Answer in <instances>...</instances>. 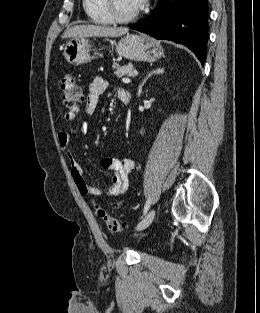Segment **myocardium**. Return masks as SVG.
Instances as JSON below:
<instances>
[{
  "mask_svg": "<svg viewBox=\"0 0 260 313\" xmlns=\"http://www.w3.org/2000/svg\"><path fill=\"white\" fill-rule=\"evenodd\" d=\"M104 8L113 22L117 23H125V22H130L136 19L140 13V10L138 9L132 14L129 15H120L115 8V0H104Z\"/></svg>",
  "mask_w": 260,
  "mask_h": 313,
  "instance_id": "myocardium-1",
  "label": "myocardium"
}]
</instances>
